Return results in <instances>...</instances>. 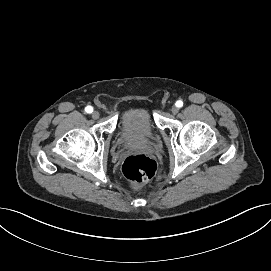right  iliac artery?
Masks as SVG:
<instances>
[{
  "instance_id": "right-iliac-artery-1",
  "label": "right iliac artery",
  "mask_w": 271,
  "mask_h": 271,
  "mask_svg": "<svg viewBox=\"0 0 271 271\" xmlns=\"http://www.w3.org/2000/svg\"><path fill=\"white\" fill-rule=\"evenodd\" d=\"M85 111H86L87 113H92V112H93L92 106H87V107L85 108Z\"/></svg>"
}]
</instances>
